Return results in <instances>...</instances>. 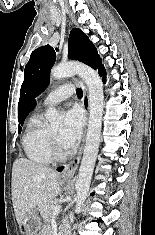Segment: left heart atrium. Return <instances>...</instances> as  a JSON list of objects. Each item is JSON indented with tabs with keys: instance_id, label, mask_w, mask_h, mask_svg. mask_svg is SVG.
<instances>
[{
	"instance_id": "obj_1",
	"label": "left heart atrium",
	"mask_w": 155,
	"mask_h": 235,
	"mask_svg": "<svg viewBox=\"0 0 155 235\" xmlns=\"http://www.w3.org/2000/svg\"><path fill=\"white\" fill-rule=\"evenodd\" d=\"M83 124L84 117L79 109L73 108L65 113L64 123L59 132V142L62 147L70 149L77 144Z\"/></svg>"
}]
</instances>
